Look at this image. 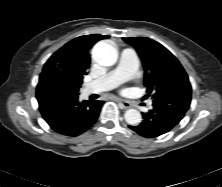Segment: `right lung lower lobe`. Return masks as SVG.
<instances>
[{
  "mask_svg": "<svg viewBox=\"0 0 222 187\" xmlns=\"http://www.w3.org/2000/svg\"><path fill=\"white\" fill-rule=\"evenodd\" d=\"M78 95L56 72L41 73L36 90L39 110L57 133L78 136L96 122L103 101L79 102Z\"/></svg>",
  "mask_w": 222,
  "mask_h": 187,
  "instance_id": "1",
  "label": "right lung lower lobe"
}]
</instances>
